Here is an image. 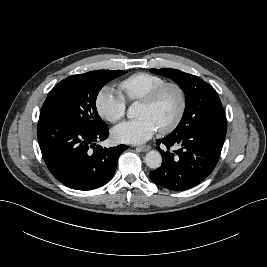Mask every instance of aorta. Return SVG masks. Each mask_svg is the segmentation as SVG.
<instances>
[{"instance_id":"obj_1","label":"aorta","mask_w":267,"mask_h":267,"mask_svg":"<svg viewBox=\"0 0 267 267\" xmlns=\"http://www.w3.org/2000/svg\"><path fill=\"white\" fill-rule=\"evenodd\" d=\"M136 103H133L127 112V116L129 118H134L136 116ZM145 163L146 165L151 169H157L161 166L162 163V156L161 154L156 150H151L146 154L145 157Z\"/></svg>"}]
</instances>
